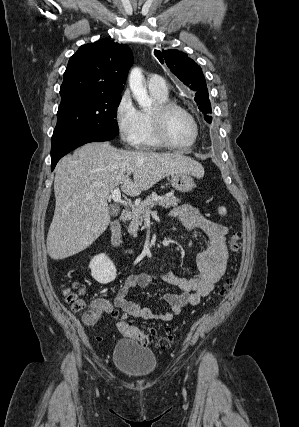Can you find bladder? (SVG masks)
Instances as JSON below:
<instances>
[{
  "label": "bladder",
  "instance_id": "bladder-1",
  "mask_svg": "<svg viewBox=\"0 0 299 427\" xmlns=\"http://www.w3.org/2000/svg\"><path fill=\"white\" fill-rule=\"evenodd\" d=\"M113 359L120 373L134 379L147 378L157 366V358L151 349L125 338L115 344Z\"/></svg>",
  "mask_w": 299,
  "mask_h": 427
}]
</instances>
